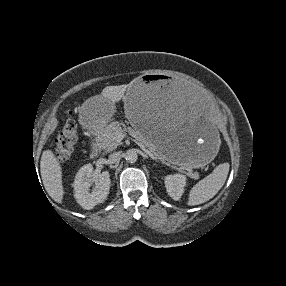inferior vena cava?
<instances>
[{
  "label": "inferior vena cava",
  "mask_w": 286,
  "mask_h": 286,
  "mask_svg": "<svg viewBox=\"0 0 286 286\" xmlns=\"http://www.w3.org/2000/svg\"><path fill=\"white\" fill-rule=\"evenodd\" d=\"M121 157L120 152H114L109 155V163L114 164L116 163Z\"/></svg>",
  "instance_id": "obj_1"
}]
</instances>
